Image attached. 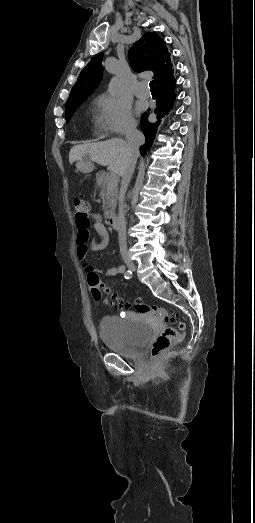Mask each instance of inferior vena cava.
<instances>
[{
	"label": "inferior vena cava",
	"mask_w": 255,
	"mask_h": 523,
	"mask_svg": "<svg viewBox=\"0 0 255 523\" xmlns=\"http://www.w3.org/2000/svg\"><path fill=\"white\" fill-rule=\"evenodd\" d=\"M127 144L123 152L124 156V168L120 172L122 178L121 188H120V206L119 214L117 220V230L119 236V248L121 254H126L127 252V240H126V220H125V206L123 200L125 198L126 190L130 184L132 174L135 170V164L137 160V154L139 152V146L144 144V136L142 132L136 130V124H132L126 130Z\"/></svg>",
	"instance_id": "obj_1"
}]
</instances>
